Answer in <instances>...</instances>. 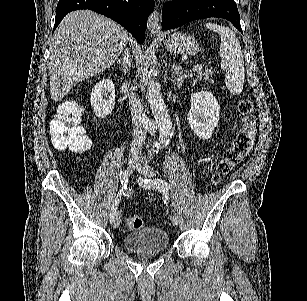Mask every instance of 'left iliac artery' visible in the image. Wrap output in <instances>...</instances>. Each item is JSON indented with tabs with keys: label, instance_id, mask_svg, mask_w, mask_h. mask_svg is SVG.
Here are the masks:
<instances>
[{
	"label": "left iliac artery",
	"instance_id": "left-iliac-artery-1",
	"mask_svg": "<svg viewBox=\"0 0 307 301\" xmlns=\"http://www.w3.org/2000/svg\"><path fill=\"white\" fill-rule=\"evenodd\" d=\"M141 183L144 184L146 188H150L151 186H153L156 189L163 191V192L168 191V189L170 188L169 183H167L165 180L158 179V178L153 179V180L141 179Z\"/></svg>",
	"mask_w": 307,
	"mask_h": 301
}]
</instances>
